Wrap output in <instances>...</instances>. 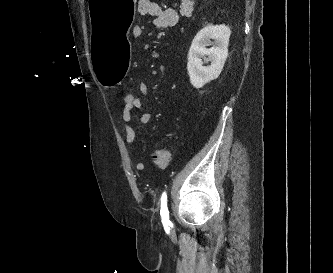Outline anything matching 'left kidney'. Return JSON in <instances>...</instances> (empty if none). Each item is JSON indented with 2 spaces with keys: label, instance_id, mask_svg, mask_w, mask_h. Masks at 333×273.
<instances>
[{
  "label": "left kidney",
  "instance_id": "5707ae66",
  "mask_svg": "<svg viewBox=\"0 0 333 273\" xmlns=\"http://www.w3.org/2000/svg\"><path fill=\"white\" fill-rule=\"evenodd\" d=\"M230 35L228 26L208 25L194 37L188 52L187 69L190 82L195 88L203 87L220 75L228 56ZM209 45L212 47L206 48ZM205 56H208L206 62L210 61V65L204 66L202 59Z\"/></svg>",
  "mask_w": 333,
  "mask_h": 273
}]
</instances>
